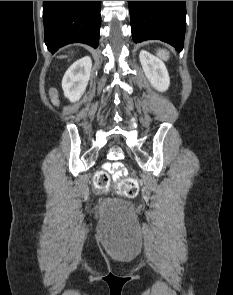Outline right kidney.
<instances>
[{
  "label": "right kidney",
  "instance_id": "1",
  "mask_svg": "<svg viewBox=\"0 0 233 295\" xmlns=\"http://www.w3.org/2000/svg\"><path fill=\"white\" fill-rule=\"evenodd\" d=\"M92 67V60L85 56L74 62L64 74L62 89L64 96L71 102L78 101L84 94Z\"/></svg>",
  "mask_w": 233,
  "mask_h": 295
}]
</instances>
